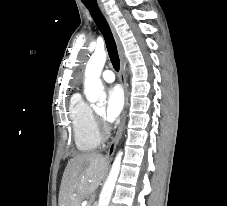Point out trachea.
Segmentation results:
<instances>
[{"mask_svg": "<svg viewBox=\"0 0 227 206\" xmlns=\"http://www.w3.org/2000/svg\"><path fill=\"white\" fill-rule=\"evenodd\" d=\"M86 8L90 11V14L95 21L96 25L98 26L99 30L101 31L106 47L109 53V57L111 63L116 71H119L120 68V60L118 56L117 46L111 32V29L104 18L103 14L101 13L96 0H89V2H83Z\"/></svg>", "mask_w": 227, "mask_h": 206, "instance_id": "trachea-1", "label": "trachea"}]
</instances>
